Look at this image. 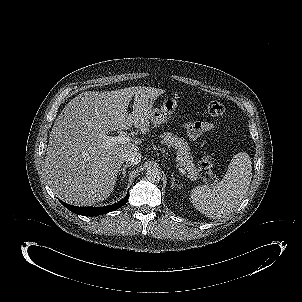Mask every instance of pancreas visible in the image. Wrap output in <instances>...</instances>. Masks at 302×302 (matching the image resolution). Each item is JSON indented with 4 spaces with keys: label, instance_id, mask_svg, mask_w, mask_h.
Masks as SVG:
<instances>
[{
    "label": "pancreas",
    "instance_id": "1",
    "mask_svg": "<svg viewBox=\"0 0 302 302\" xmlns=\"http://www.w3.org/2000/svg\"><path fill=\"white\" fill-rule=\"evenodd\" d=\"M160 138L162 144L176 149L178 166L183 167L191 179H197L200 170L195 166L188 142L170 132H165Z\"/></svg>",
    "mask_w": 302,
    "mask_h": 302
}]
</instances>
